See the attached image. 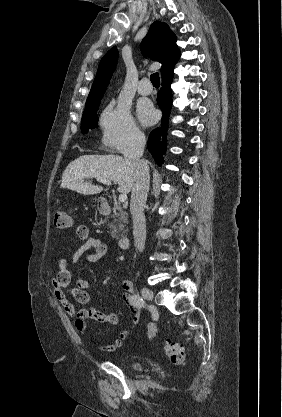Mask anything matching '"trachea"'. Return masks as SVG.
Wrapping results in <instances>:
<instances>
[{"label":"trachea","mask_w":282,"mask_h":417,"mask_svg":"<svg viewBox=\"0 0 282 417\" xmlns=\"http://www.w3.org/2000/svg\"><path fill=\"white\" fill-rule=\"evenodd\" d=\"M150 80H151L152 85L154 87H159L160 86V77H159V74L157 72L152 73V75L150 76Z\"/></svg>","instance_id":"trachea-1"}]
</instances>
